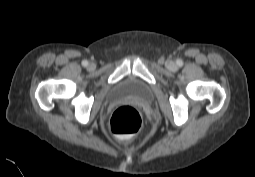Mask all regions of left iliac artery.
I'll use <instances>...</instances> for the list:
<instances>
[{"instance_id": "obj_1", "label": "left iliac artery", "mask_w": 255, "mask_h": 177, "mask_svg": "<svg viewBox=\"0 0 255 177\" xmlns=\"http://www.w3.org/2000/svg\"><path fill=\"white\" fill-rule=\"evenodd\" d=\"M178 65L180 66V65H182V61H180V60H178Z\"/></svg>"}]
</instances>
